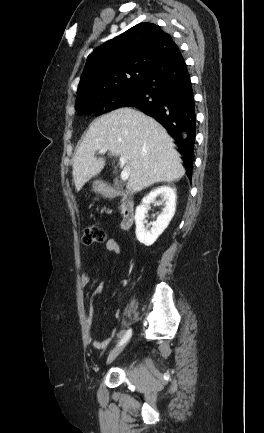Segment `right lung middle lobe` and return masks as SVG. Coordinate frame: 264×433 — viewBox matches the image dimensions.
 <instances>
[{"label":"right lung middle lobe","mask_w":264,"mask_h":433,"mask_svg":"<svg viewBox=\"0 0 264 433\" xmlns=\"http://www.w3.org/2000/svg\"><path fill=\"white\" fill-rule=\"evenodd\" d=\"M140 85H125L92 98L77 101L76 109L82 114L101 115L121 107L140 93Z\"/></svg>","instance_id":"dd1d6c3e"}]
</instances>
